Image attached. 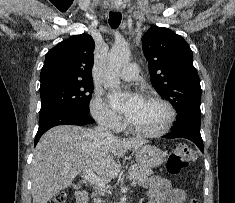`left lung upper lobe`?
Here are the masks:
<instances>
[{"label": "left lung upper lobe", "mask_w": 235, "mask_h": 203, "mask_svg": "<svg viewBox=\"0 0 235 203\" xmlns=\"http://www.w3.org/2000/svg\"><path fill=\"white\" fill-rule=\"evenodd\" d=\"M142 48L151 83L174 106L177 122L201 121L200 79L188 43L172 30L153 25L142 37Z\"/></svg>", "instance_id": "1"}]
</instances>
